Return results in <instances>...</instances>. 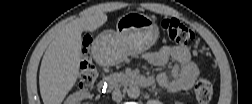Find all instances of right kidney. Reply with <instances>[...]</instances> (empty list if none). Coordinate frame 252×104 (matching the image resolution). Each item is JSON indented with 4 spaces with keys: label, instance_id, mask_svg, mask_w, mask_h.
<instances>
[{
    "label": "right kidney",
    "instance_id": "obj_1",
    "mask_svg": "<svg viewBox=\"0 0 252 104\" xmlns=\"http://www.w3.org/2000/svg\"><path fill=\"white\" fill-rule=\"evenodd\" d=\"M88 96H89L88 92L78 91V92H75V93L71 94L70 96H68L65 103L66 104H80L81 101L85 98H88Z\"/></svg>",
    "mask_w": 252,
    "mask_h": 104
}]
</instances>
